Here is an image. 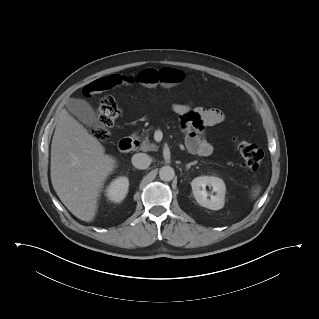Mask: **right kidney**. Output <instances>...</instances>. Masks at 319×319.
<instances>
[{
    "mask_svg": "<svg viewBox=\"0 0 319 319\" xmlns=\"http://www.w3.org/2000/svg\"><path fill=\"white\" fill-rule=\"evenodd\" d=\"M129 188V180L125 176H121L113 180L106 189V196L111 202H121Z\"/></svg>",
    "mask_w": 319,
    "mask_h": 319,
    "instance_id": "1",
    "label": "right kidney"
}]
</instances>
